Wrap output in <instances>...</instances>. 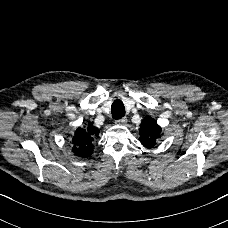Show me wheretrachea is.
I'll return each mask as SVG.
<instances>
[{"instance_id":"obj_1","label":"trachea","mask_w":228,"mask_h":228,"mask_svg":"<svg viewBox=\"0 0 228 228\" xmlns=\"http://www.w3.org/2000/svg\"><path fill=\"white\" fill-rule=\"evenodd\" d=\"M112 117L116 120L121 119L125 115L124 104L117 99L113 102L111 107Z\"/></svg>"}]
</instances>
